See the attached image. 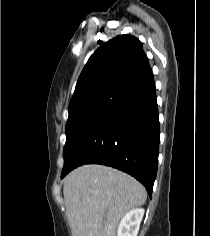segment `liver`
Masks as SVG:
<instances>
[{"label":"liver","mask_w":210,"mask_h":236,"mask_svg":"<svg viewBox=\"0 0 210 236\" xmlns=\"http://www.w3.org/2000/svg\"><path fill=\"white\" fill-rule=\"evenodd\" d=\"M63 195L72 236H116L120 219L147 197L133 177L96 164L68 174Z\"/></svg>","instance_id":"liver-1"}]
</instances>
